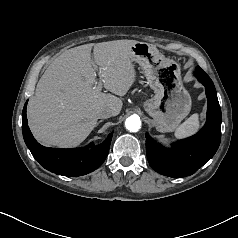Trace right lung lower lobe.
<instances>
[{
    "label": "right lung lower lobe",
    "mask_w": 238,
    "mask_h": 238,
    "mask_svg": "<svg viewBox=\"0 0 238 238\" xmlns=\"http://www.w3.org/2000/svg\"><path fill=\"white\" fill-rule=\"evenodd\" d=\"M26 106L22 112V132L24 141L34 158L45 169L63 176H81L96 170L106 159L113 133L105 141L86 151L88 145L82 149L48 148L40 145L33 137L27 124Z\"/></svg>",
    "instance_id": "1"
}]
</instances>
